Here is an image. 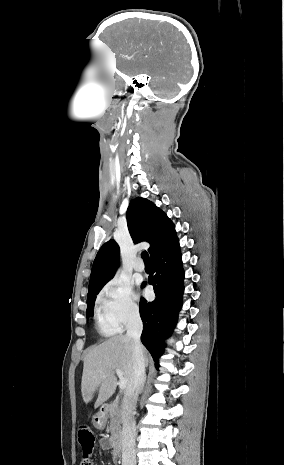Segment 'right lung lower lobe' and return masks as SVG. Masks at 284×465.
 I'll return each mask as SVG.
<instances>
[{"label": "right lung lower lobe", "instance_id": "1", "mask_svg": "<svg viewBox=\"0 0 284 465\" xmlns=\"http://www.w3.org/2000/svg\"><path fill=\"white\" fill-rule=\"evenodd\" d=\"M152 274L148 283L154 286L156 299L140 300V316L143 321L141 341L151 353L156 366L162 355L165 338L172 334L178 313L182 307L184 270L178 238L151 258ZM146 282L142 284V287Z\"/></svg>", "mask_w": 284, "mask_h": 465}]
</instances>
